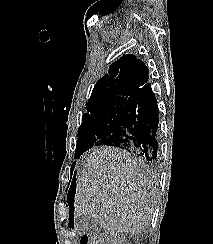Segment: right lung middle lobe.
Segmentation results:
<instances>
[{
	"mask_svg": "<svg viewBox=\"0 0 213 244\" xmlns=\"http://www.w3.org/2000/svg\"><path fill=\"white\" fill-rule=\"evenodd\" d=\"M134 95H113L87 103V113L82 116L75 156L78 157L94 144L114 133L128 114L135 100Z\"/></svg>",
	"mask_w": 213,
	"mask_h": 244,
	"instance_id": "1",
	"label": "right lung middle lobe"
}]
</instances>
